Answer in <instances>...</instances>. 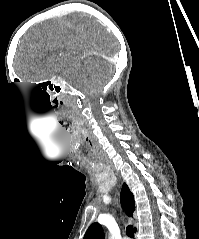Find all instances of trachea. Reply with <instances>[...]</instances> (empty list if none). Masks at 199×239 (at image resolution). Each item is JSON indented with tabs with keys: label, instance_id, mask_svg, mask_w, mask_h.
<instances>
[{
	"label": "trachea",
	"instance_id": "obj_1",
	"mask_svg": "<svg viewBox=\"0 0 199 239\" xmlns=\"http://www.w3.org/2000/svg\"><path fill=\"white\" fill-rule=\"evenodd\" d=\"M126 234L133 239L134 238V233H133V226L132 225H128L126 227Z\"/></svg>",
	"mask_w": 199,
	"mask_h": 239
}]
</instances>
